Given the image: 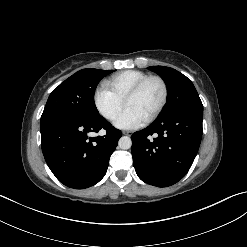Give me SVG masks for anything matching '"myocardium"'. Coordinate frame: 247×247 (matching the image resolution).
<instances>
[{
  "label": "myocardium",
  "instance_id": "1",
  "mask_svg": "<svg viewBox=\"0 0 247 247\" xmlns=\"http://www.w3.org/2000/svg\"><path fill=\"white\" fill-rule=\"evenodd\" d=\"M153 80L158 81L162 87V99L155 110L147 117L148 122L156 119L167 104L169 98V88L166 80L159 75H149L134 85L124 98V103L126 104L129 99L136 96L146 86V84Z\"/></svg>",
  "mask_w": 247,
  "mask_h": 247
}]
</instances>
